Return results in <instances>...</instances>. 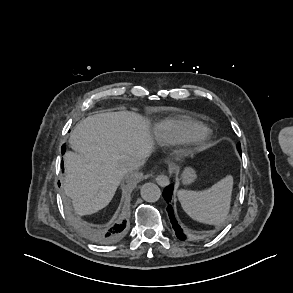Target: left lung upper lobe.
Here are the masks:
<instances>
[{
    "mask_svg": "<svg viewBox=\"0 0 293 293\" xmlns=\"http://www.w3.org/2000/svg\"><path fill=\"white\" fill-rule=\"evenodd\" d=\"M238 151H241V146H240V144H238Z\"/></svg>",
    "mask_w": 293,
    "mask_h": 293,
    "instance_id": "left-lung-upper-lobe-1",
    "label": "left lung upper lobe"
}]
</instances>
